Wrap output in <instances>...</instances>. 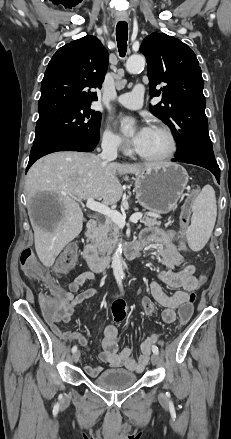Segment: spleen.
Here are the masks:
<instances>
[{
    "mask_svg": "<svg viewBox=\"0 0 231 439\" xmlns=\"http://www.w3.org/2000/svg\"><path fill=\"white\" fill-rule=\"evenodd\" d=\"M191 224L186 231L190 248L201 250L208 242L217 216L215 191L211 185L203 187L193 203Z\"/></svg>",
    "mask_w": 231,
    "mask_h": 439,
    "instance_id": "spleen-1",
    "label": "spleen"
}]
</instances>
